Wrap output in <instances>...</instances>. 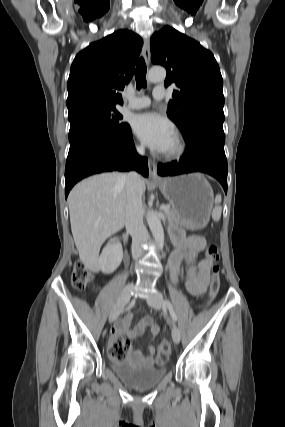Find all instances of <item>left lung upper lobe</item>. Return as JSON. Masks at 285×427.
Instances as JSON below:
<instances>
[{"label":"left lung upper lobe","mask_w":285,"mask_h":427,"mask_svg":"<svg viewBox=\"0 0 285 427\" xmlns=\"http://www.w3.org/2000/svg\"><path fill=\"white\" fill-rule=\"evenodd\" d=\"M151 61L167 70L165 86L175 83L168 117L188 140L203 128L223 131V79L213 54L197 41L165 26L150 40Z\"/></svg>","instance_id":"1"}]
</instances>
